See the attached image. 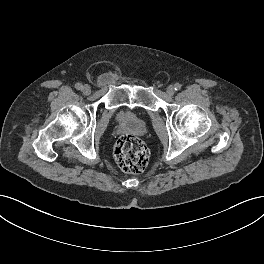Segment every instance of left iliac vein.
Instances as JSON below:
<instances>
[{
  "instance_id": "4c4485c4",
  "label": "left iliac vein",
  "mask_w": 264,
  "mask_h": 264,
  "mask_svg": "<svg viewBox=\"0 0 264 264\" xmlns=\"http://www.w3.org/2000/svg\"><path fill=\"white\" fill-rule=\"evenodd\" d=\"M174 93H175V89H174V87H173V86H169V87L167 88V94H168V96H173Z\"/></svg>"
}]
</instances>
